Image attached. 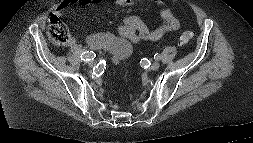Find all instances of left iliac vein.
<instances>
[{
	"instance_id": "left-iliac-vein-1",
	"label": "left iliac vein",
	"mask_w": 253,
	"mask_h": 143,
	"mask_svg": "<svg viewBox=\"0 0 253 143\" xmlns=\"http://www.w3.org/2000/svg\"><path fill=\"white\" fill-rule=\"evenodd\" d=\"M159 67H160V63H159V62H154V63L151 65L150 69H151L152 71H156V70L159 69Z\"/></svg>"
}]
</instances>
